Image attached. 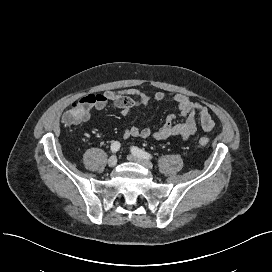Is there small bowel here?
<instances>
[{
	"mask_svg": "<svg viewBox=\"0 0 272 272\" xmlns=\"http://www.w3.org/2000/svg\"><path fill=\"white\" fill-rule=\"evenodd\" d=\"M167 96L162 91L150 95L135 88L87 94L71 106L64 114L62 122L68 126H76L86 122L91 118L93 111L101 110L108 102H112L121 114L126 116L134 107H146L152 99L162 101ZM170 98L177 106L180 115L185 118L184 121L176 122L175 115H169L157 129L139 128L133 125L123 130V137L152 138L158 141L170 137H179L186 140L195 134L199 127L206 132L214 128L215 123L205 105L194 102L180 93L170 94Z\"/></svg>",
	"mask_w": 272,
	"mask_h": 272,
	"instance_id": "small-bowel-1",
	"label": "small bowel"
}]
</instances>
